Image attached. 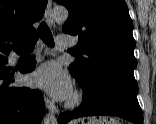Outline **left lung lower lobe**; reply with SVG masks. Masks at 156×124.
<instances>
[{
    "instance_id": "1",
    "label": "left lung lower lobe",
    "mask_w": 156,
    "mask_h": 124,
    "mask_svg": "<svg viewBox=\"0 0 156 124\" xmlns=\"http://www.w3.org/2000/svg\"><path fill=\"white\" fill-rule=\"evenodd\" d=\"M82 90L81 105L72 112L61 113L59 124L94 115L118 116L135 124H143V114L137 100L136 82L118 75H107L98 78Z\"/></svg>"
}]
</instances>
